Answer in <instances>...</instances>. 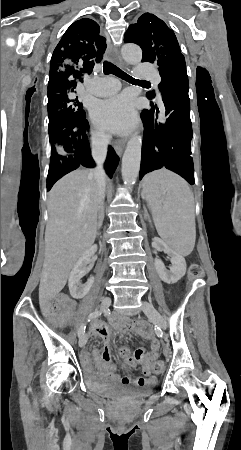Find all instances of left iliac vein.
I'll return each mask as SVG.
<instances>
[{
    "label": "left iliac vein",
    "instance_id": "4c4485c4",
    "mask_svg": "<svg viewBox=\"0 0 241 450\" xmlns=\"http://www.w3.org/2000/svg\"><path fill=\"white\" fill-rule=\"evenodd\" d=\"M142 309L144 313L148 316V318L157 326L166 329L167 323L166 321L161 317L159 312L156 310V308L152 305V303L145 301L143 303Z\"/></svg>",
    "mask_w": 241,
    "mask_h": 450
}]
</instances>
